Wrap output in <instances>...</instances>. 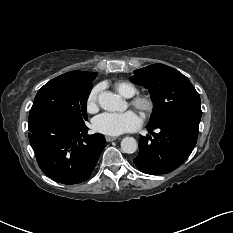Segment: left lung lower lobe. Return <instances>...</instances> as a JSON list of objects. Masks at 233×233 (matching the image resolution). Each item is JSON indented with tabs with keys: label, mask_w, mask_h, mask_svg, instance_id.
<instances>
[{
	"label": "left lung lower lobe",
	"mask_w": 233,
	"mask_h": 233,
	"mask_svg": "<svg viewBox=\"0 0 233 233\" xmlns=\"http://www.w3.org/2000/svg\"><path fill=\"white\" fill-rule=\"evenodd\" d=\"M200 119L199 115L178 114L149 123L147 128L152 136H142L139 141V153L134 159L137 168L158 175L182 165L196 145Z\"/></svg>",
	"instance_id": "0a47b994"
}]
</instances>
